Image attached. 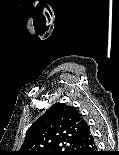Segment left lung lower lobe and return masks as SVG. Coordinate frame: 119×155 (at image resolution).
Here are the masks:
<instances>
[{
	"label": "left lung lower lobe",
	"instance_id": "1",
	"mask_svg": "<svg viewBox=\"0 0 119 155\" xmlns=\"http://www.w3.org/2000/svg\"><path fill=\"white\" fill-rule=\"evenodd\" d=\"M78 151L75 155H103L97 150L93 132L86 121H82L79 135L76 140Z\"/></svg>",
	"mask_w": 119,
	"mask_h": 155
}]
</instances>
